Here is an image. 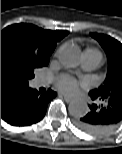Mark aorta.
<instances>
[{
    "label": "aorta",
    "mask_w": 122,
    "mask_h": 154,
    "mask_svg": "<svg viewBox=\"0 0 122 154\" xmlns=\"http://www.w3.org/2000/svg\"><path fill=\"white\" fill-rule=\"evenodd\" d=\"M59 61L68 68L76 67L81 61V51L76 46H65L58 54ZM70 115L80 117L88 113L89 108L84 101H72L68 107Z\"/></svg>",
    "instance_id": "obj_1"
}]
</instances>
